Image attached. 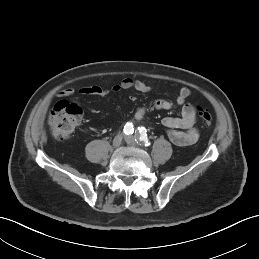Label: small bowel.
I'll return each instance as SVG.
<instances>
[{
    "mask_svg": "<svg viewBox=\"0 0 259 259\" xmlns=\"http://www.w3.org/2000/svg\"><path fill=\"white\" fill-rule=\"evenodd\" d=\"M134 89L141 93H150L153 86L132 78H125L120 83L114 85L110 90L99 85L83 86L79 89L68 87L61 89L58 95L61 97H71L76 93L82 96H99L106 97L110 92L118 93L123 90ZM192 95V91L188 87H180L176 90L175 101L166 99H157L153 107L157 110L169 111L176 106H181V115L178 117H165L163 124L167 127V135L169 140L176 146L184 147L194 144L199 137V130L196 126L197 113L195 107L187 103V99ZM146 108L140 107L135 111L134 117L137 121L143 120L146 115Z\"/></svg>",
    "mask_w": 259,
    "mask_h": 259,
    "instance_id": "c3829d8e",
    "label": "small bowel"
}]
</instances>
